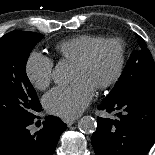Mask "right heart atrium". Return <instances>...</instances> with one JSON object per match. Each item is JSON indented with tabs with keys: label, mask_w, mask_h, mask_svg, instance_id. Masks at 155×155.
<instances>
[{
	"label": "right heart atrium",
	"mask_w": 155,
	"mask_h": 155,
	"mask_svg": "<svg viewBox=\"0 0 155 155\" xmlns=\"http://www.w3.org/2000/svg\"><path fill=\"white\" fill-rule=\"evenodd\" d=\"M53 60L39 52H31L25 63L29 82L39 90L45 89L53 78Z\"/></svg>",
	"instance_id": "d8ad5b80"
}]
</instances>
